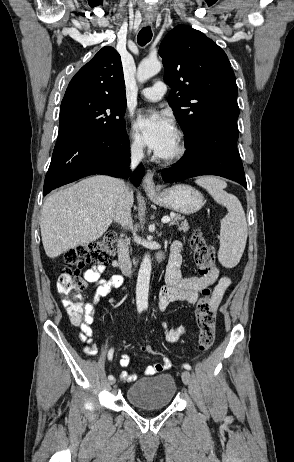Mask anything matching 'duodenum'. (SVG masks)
<instances>
[{
    "label": "duodenum",
    "mask_w": 294,
    "mask_h": 462,
    "mask_svg": "<svg viewBox=\"0 0 294 462\" xmlns=\"http://www.w3.org/2000/svg\"><path fill=\"white\" fill-rule=\"evenodd\" d=\"M118 267L123 271V273L129 275L131 273V261L129 257V250L125 238H120L118 240ZM163 259V253L158 252L156 255L157 262H161Z\"/></svg>",
    "instance_id": "obj_1"
}]
</instances>
